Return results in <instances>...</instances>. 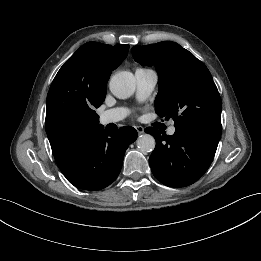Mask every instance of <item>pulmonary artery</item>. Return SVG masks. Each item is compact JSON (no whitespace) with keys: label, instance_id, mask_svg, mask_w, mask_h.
Returning a JSON list of instances; mask_svg holds the SVG:
<instances>
[{"label":"pulmonary artery","instance_id":"pulmonary-artery-1","mask_svg":"<svg viewBox=\"0 0 261 261\" xmlns=\"http://www.w3.org/2000/svg\"><path fill=\"white\" fill-rule=\"evenodd\" d=\"M137 82V96L140 100L146 99L155 88L157 75L153 70H137L135 73ZM128 114L125 108H113L106 110L100 115V123L103 125L117 123L123 120ZM175 127L172 125L168 128V134L175 133Z\"/></svg>","mask_w":261,"mask_h":261}]
</instances>
